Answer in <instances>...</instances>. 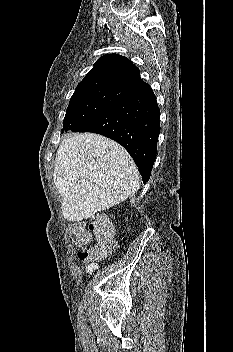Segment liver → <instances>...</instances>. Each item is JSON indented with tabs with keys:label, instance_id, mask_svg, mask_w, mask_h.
<instances>
[{
	"label": "liver",
	"instance_id": "6515ba94",
	"mask_svg": "<svg viewBox=\"0 0 233 352\" xmlns=\"http://www.w3.org/2000/svg\"><path fill=\"white\" fill-rule=\"evenodd\" d=\"M53 180L62 212L81 221L118 205L140 188L138 169L118 143L98 134H68L56 153Z\"/></svg>",
	"mask_w": 233,
	"mask_h": 352
}]
</instances>
